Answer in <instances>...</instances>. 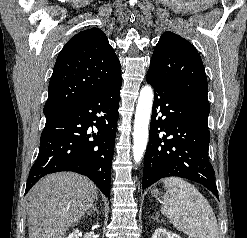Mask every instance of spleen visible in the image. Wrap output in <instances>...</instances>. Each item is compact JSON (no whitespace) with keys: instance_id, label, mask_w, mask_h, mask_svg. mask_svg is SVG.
I'll use <instances>...</instances> for the list:
<instances>
[{"instance_id":"spleen-1","label":"spleen","mask_w":247,"mask_h":238,"mask_svg":"<svg viewBox=\"0 0 247 238\" xmlns=\"http://www.w3.org/2000/svg\"><path fill=\"white\" fill-rule=\"evenodd\" d=\"M167 192L161 212L176 229L189 238H219L212 207L198 189L179 177L163 180Z\"/></svg>"}]
</instances>
